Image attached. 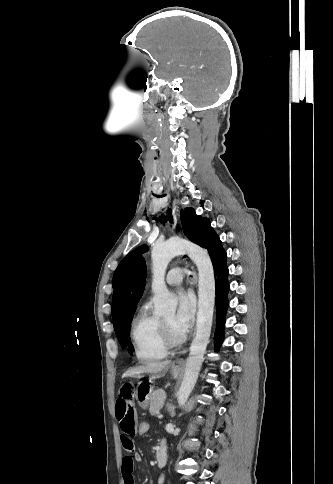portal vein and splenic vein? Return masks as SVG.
<instances>
[{"label": "portal vein and splenic vein", "mask_w": 333, "mask_h": 484, "mask_svg": "<svg viewBox=\"0 0 333 484\" xmlns=\"http://www.w3.org/2000/svg\"><path fill=\"white\" fill-rule=\"evenodd\" d=\"M157 417H158L159 419H161V418L163 417V415L159 414Z\"/></svg>", "instance_id": "obj_1"}]
</instances>
